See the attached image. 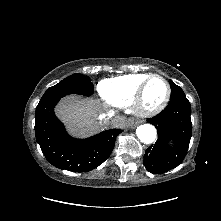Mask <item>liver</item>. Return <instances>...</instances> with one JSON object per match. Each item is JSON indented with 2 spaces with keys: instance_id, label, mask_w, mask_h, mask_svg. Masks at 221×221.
<instances>
[{
  "instance_id": "liver-1",
  "label": "liver",
  "mask_w": 221,
  "mask_h": 221,
  "mask_svg": "<svg viewBox=\"0 0 221 221\" xmlns=\"http://www.w3.org/2000/svg\"><path fill=\"white\" fill-rule=\"evenodd\" d=\"M104 110L105 107L97 100L71 96L63 99L57 106L56 114L66 124L70 133L85 137L100 130L98 115ZM113 123L116 126H124V119L118 117Z\"/></svg>"
}]
</instances>
